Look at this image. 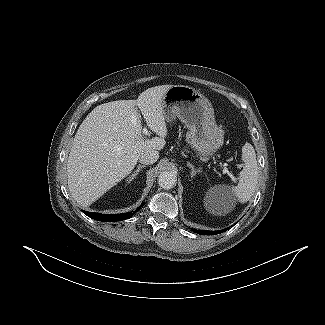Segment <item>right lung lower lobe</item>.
Here are the masks:
<instances>
[{"mask_svg": "<svg viewBox=\"0 0 325 325\" xmlns=\"http://www.w3.org/2000/svg\"><path fill=\"white\" fill-rule=\"evenodd\" d=\"M141 206H143V205H141ZM140 207L137 208V210H139ZM83 212L90 218H93V219L99 220V221H105V222L126 220L134 214V212H127V213H122V214H99V213H91V212H87V211H83Z\"/></svg>", "mask_w": 325, "mask_h": 325, "instance_id": "right-lung-lower-lobe-1", "label": "right lung lower lobe"}]
</instances>
